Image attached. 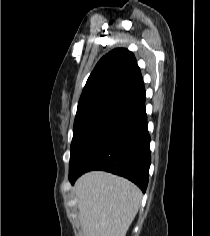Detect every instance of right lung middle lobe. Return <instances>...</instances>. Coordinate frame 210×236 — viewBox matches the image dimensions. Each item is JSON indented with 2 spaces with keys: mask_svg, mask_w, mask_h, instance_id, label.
<instances>
[{
  "mask_svg": "<svg viewBox=\"0 0 210 236\" xmlns=\"http://www.w3.org/2000/svg\"><path fill=\"white\" fill-rule=\"evenodd\" d=\"M131 93L132 91L128 89H116L101 97L78 104L70 148V160L92 129Z\"/></svg>",
  "mask_w": 210,
  "mask_h": 236,
  "instance_id": "dd1d6c3e",
  "label": "right lung middle lobe"
}]
</instances>
